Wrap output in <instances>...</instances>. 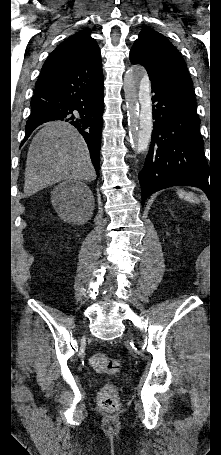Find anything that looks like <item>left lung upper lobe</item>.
Segmentation results:
<instances>
[{
    "mask_svg": "<svg viewBox=\"0 0 221 455\" xmlns=\"http://www.w3.org/2000/svg\"><path fill=\"white\" fill-rule=\"evenodd\" d=\"M132 64L143 65L151 83L159 84L196 104L187 65L172 43L152 28H144L130 51Z\"/></svg>",
    "mask_w": 221,
    "mask_h": 455,
    "instance_id": "obj_1",
    "label": "left lung upper lobe"
}]
</instances>
